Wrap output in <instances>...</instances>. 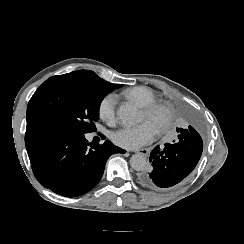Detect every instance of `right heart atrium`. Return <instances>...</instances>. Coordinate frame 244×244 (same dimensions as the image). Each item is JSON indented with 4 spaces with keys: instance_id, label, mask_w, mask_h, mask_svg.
I'll use <instances>...</instances> for the list:
<instances>
[{
    "instance_id": "d8ad5b80",
    "label": "right heart atrium",
    "mask_w": 244,
    "mask_h": 244,
    "mask_svg": "<svg viewBox=\"0 0 244 244\" xmlns=\"http://www.w3.org/2000/svg\"><path fill=\"white\" fill-rule=\"evenodd\" d=\"M117 96L111 92L106 94L99 104V116L107 124H113L115 122L116 115Z\"/></svg>"
}]
</instances>
